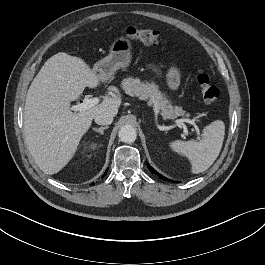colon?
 <instances>
[{"label": "colon", "mask_w": 265, "mask_h": 265, "mask_svg": "<svg viewBox=\"0 0 265 265\" xmlns=\"http://www.w3.org/2000/svg\"><path fill=\"white\" fill-rule=\"evenodd\" d=\"M126 35L129 39L144 44H157L160 40V33L153 29H141L136 27H128ZM198 84L201 89L202 98L207 104H215L220 99V90L212 84L210 77L205 72H200L197 77Z\"/></svg>", "instance_id": "1"}]
</instances>
